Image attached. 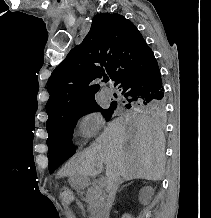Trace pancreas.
<instances>
[{"instance_id":"cf45deb5","label":"pancreas","mask_w":211,"mask_h":218,"mask_svg":"<svg viewBox=\"0 0 211 218\" xmlns=\"http://www.w3.org/2000/svg\"><path fill=\"white\" fill-rule=\"evenodd\" d=\"M91 190H88L86 194L87 202L89 204V212L91 218H98L102 212L104 206V194L101 186H91Z\"/></svg>"}]
</instances>
